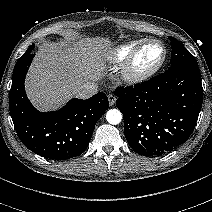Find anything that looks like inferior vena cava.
<instances>
[{
  "mask_svg": "<svg viewBox=\"0 0 212 212\" xmlns=\"http://www.w3.org/2000/svg\"><path fill=\"white\" fill-rule=\"evenodd\" d=\"M98 86L94 82H87L74 90V94L81 99H88L97 93Z\"/></svg>",
  "mask_w": 212,
  "mask_h": 212,
  "instance_id": "inferior-vena-cava-1",
  "label": "inferior vena cava"
}]
</instances>
